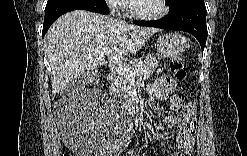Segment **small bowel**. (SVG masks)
Wrapping results in <instances>:
<instances>
[{
    "instance_id": "c3829d8e",
    "label": "small bowel",
    "mask_w": 247,
    "mask_h": 156,
    "mask_svg": "<svg viewBox=\"0 0 247 156\" xmlns=\"http://www.w3.org/2000/svg\"><path fill=\"white\" fill-rule=\"evenodd\" d=\"M177 84L168 75L157 77L146 89L149 98L156 97L161 100H169L171 109L175 115L164 113L161 120L165 123L177 125L179 132L177 135L178 148L175 155H190L195 140V113L196 106L193 102H183L175 94Z\"/></svg>"
}]
</instances>
